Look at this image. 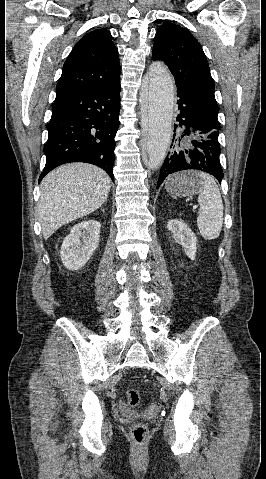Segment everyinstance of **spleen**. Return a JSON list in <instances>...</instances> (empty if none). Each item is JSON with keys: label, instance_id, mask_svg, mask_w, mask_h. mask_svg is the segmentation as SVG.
Masks as SVG:
<instances>
[{"label": "spleen", "instance_id": "obj_1", "mask_svg": "<svg viewBox=\"0 0 266 479\" xmlns=\"http://www.w3.org/2000/svg\"><path fill=\"white\" fill-rule=\"evenodd\" d=\"M198 175L203 180V187L198 192L197 226L205 240H214L219 237L223 226V202L215 180L205 173Z\"/></svg>", "mask_w": 266, "mask_h": 479}]
</instances>
